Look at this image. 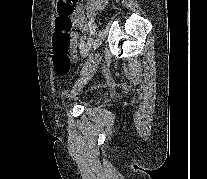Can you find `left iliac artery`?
<instances>
[{"label":"left iliac artery","instance_id":"1","mask_svg":"<svg viewBox=\"0 0 207 179\" xmlns=\"http://www.w3.org/2000/svg\"><path fill=\"white\" fill-rule=\"evenodd\" d=\"M93 60H94V52H91V56H90L89 59L85 62V64H84L82 70L80 71V74H79V75H82V74L86 71L87 67H88L90 64L93 63Z\"/></svg>","mask_w":207,"mask_h":179}]
</instances>
